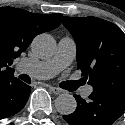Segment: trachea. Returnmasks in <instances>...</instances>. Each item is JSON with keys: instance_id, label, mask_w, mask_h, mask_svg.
<instances>
[{"instance_id": "1", "label": "trachea", "mask_w": 125, "mask_h": 125, "mask_svg": "<svg viewBox=\"0 0 125 125\" xmlns=\"http://www.w3.org/2000/svg\"><path fill=\"white\" fill-rule=\"evenodd\" d=\"M19 77H20V79H22L23 81H25L27 83L31 82V79L27 74H21Z\"/></svg>"}]
</instances>
